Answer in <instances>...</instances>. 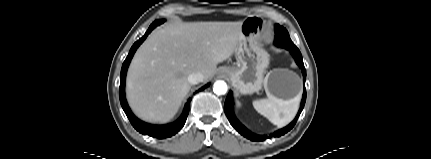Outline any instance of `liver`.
I'll list each match as a JSON object with an SVG mask.
<instances>
[{
    "mask_svg": "<svg viewBox=\"0 0 431 159\" xmlns=\"http://www.w3.org/2000/svg\"><path fill=\"white\" fill-rule=\"evenodd\" d=\"M242 21L177 22L154 30L130 64L126 96L133 112L148 122H167L190 91L188 76L212 77L218 63L238 47Z\"/></svg>",
    "mask_w": 431,
    "mask_h": 159,
    "instance_id": "1",
    "label": "liver"
}]
</instances>
